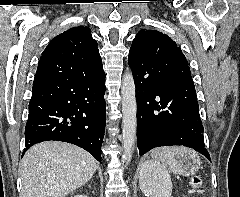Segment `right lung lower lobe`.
<instances>
[{"instance_id":"98d812e1","label":"right lung lower lobe","mask_w":240,"mask_h":197,"mask_svg":"<svg viewBox=\"0 0 240 197\" xmlns=\"http://www.w3.org/2000/svg\"><path fill=\"white\" fill-rule=\"evenodd\" d=\"M104 94V71L80 79L60 78L33 84L25 128L26 149L43 141H64L82 147L101 162L106 120Z\"/></svg>"}]
</instances>
